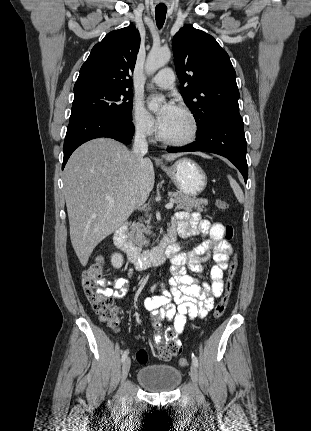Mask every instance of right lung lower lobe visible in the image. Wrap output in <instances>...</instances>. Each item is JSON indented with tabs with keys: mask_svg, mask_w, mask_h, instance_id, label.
Segmentation results:
<instances>
[{
	"mask_svg": "<svg viewBox=\"0 0 311 431\" xmlns=\"http://www.w3.org/2000/svg\"><path fill=\"white\" fill-rule=\"evenodd\" d=\"M134 135L132 119H121L103 114H85L70 119L65 141L63 166L81 144L94 138L108 137L129 143Z\"/></svg>",
	"mask_w": 311,
	"mask_h": 431,
	"instance_id": "98d812e1",
	"label": "right lung lower lobe"
}]
</instances>
